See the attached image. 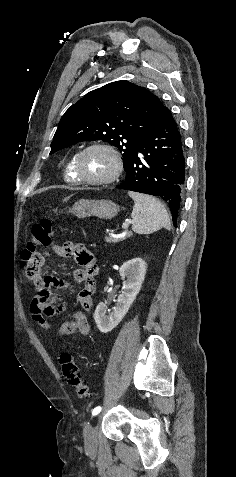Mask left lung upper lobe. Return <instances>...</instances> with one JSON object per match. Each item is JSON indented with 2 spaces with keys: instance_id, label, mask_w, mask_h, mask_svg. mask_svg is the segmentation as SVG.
<instances>
[{
  "instance_id": "1",
  "label": "left lung upper lobe",
  "mask_w": 236,
  "mask_h": 477,
  "mask_svg": "<svg viewBox=\"0 0 236 477\" xmlns=\"http://www.w3.org/2000/svg\"><path fill=\"white\" fill-rule=\"evenodd\" d=\"M162 103L146 88L127 81L89 92L61 118L50 154L77 142L102 140L122 153L124 169L156 124Z\"/></svg>"
}]
</instances>
